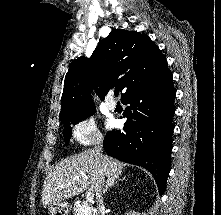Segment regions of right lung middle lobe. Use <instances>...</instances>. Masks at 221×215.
<instances>
[{"instance_id": "obj_1", "label": "right lung middle lobe", "mask_w": 221, "mask_h": 215, "mask_svg": "<svg viewBox=\"0 0 221 215\" xmlns=\"http://www.w3.org/2000/svg\"><path fill=\"white\" fill-rule=\"evenodd\" d=\"M94 111H95V108L85 110V111L75 114L71 117H68L67 119L61 120L62 123H64V128H65L64 139H65L66 145L69 143V140L71 138V129H72L71 125H75L76 123L93 115Z\"/></svg>"}]
</instances>
